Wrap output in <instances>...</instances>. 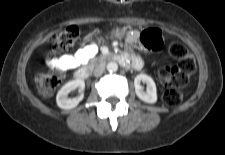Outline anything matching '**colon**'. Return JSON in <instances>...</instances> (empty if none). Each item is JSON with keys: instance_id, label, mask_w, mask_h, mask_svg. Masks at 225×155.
<instances>
[{"instance_id": "5ec220e1", "label": "colon", "mask_w": 225, "mask_h": 155, "mask_svg": "<svg viewBox=\"0 0 225 155\" xmlns=\"http://www.w3.org/2000/svg\"><path fill=\"white\" fill-rule=\"evenodd\" d=\"M79 35L80 31L76 26H69L51 37L50 46L57 53L68 51L73 48ZM140 41L147 49L156 50L161 45V34L157 29H146L141 33ZM169 53L177 63L162 66L158 71V78L167 87L161 96L163 103L175 106L182 99L181 89L187 85L196 70V62L181 42L172 43ZM61 79L60 72L39 75L36 82L40 93L44 96L51 95L60 85Z\"/></svg>"}]
</instances>
